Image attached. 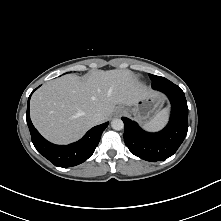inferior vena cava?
<instances>
[{"instance_id":"inferior-vena-cava-1","label":"inferior vena cava","mask_w":221,"mask_h":221,"mask_svg":"<svg viewBox=\"0 0 221 221\" xmlns=\"http://www.w3.org/2000/svg\"><path fill=\"white\" fill-rule=\"evenodd\" d=\"M93 120H94L95 122H97V123L102 122V120H103V115H102V113H100V112L95 113V114L93 115Z\"/></svg>"}]
</instances>
